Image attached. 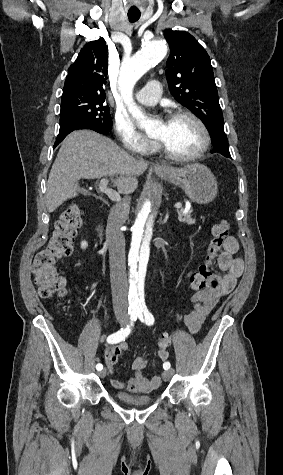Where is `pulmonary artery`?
Here are the masks:
<instances>
[{"mask_svg":"<svg viewBox=\"0 0 283 475\" xmlns=\"http://www.w3.org/2000/svg\"><path fill=\"white\" fill-rule=\"evenodd\" d=\"M161 80H148L144 87L137 91L136 99L143 104H155L161 97ZM118 90H133V89H118Z\"/></svg>","mask_w":283,"mask_h":475,"instance_id":"1","label":"pulmonary artery"}]
</instances>
